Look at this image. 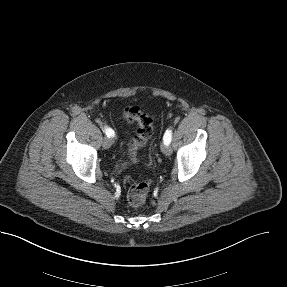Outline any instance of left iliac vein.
I'll return each mask as SVG.
<instances>
[{
	"instance_id": "left-iliac-vein-1",
	"label": "left iliac vein",
	"mask_w": 287,
	"mask_h": 287,
	"mask_svg": "<svg viewBox=\"0 0 287 287\" xmlns=\"http://www.w3.org/2000/svg\"><path fill=\"white\" fill-rule=\"evenodd\" d=\"M161 150L167 156L171 155V153H172L171 147L169 145H167V144H162Z\"/></svg>"
}]
</instances>
